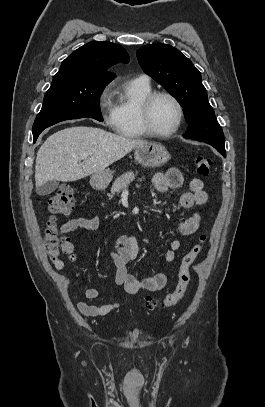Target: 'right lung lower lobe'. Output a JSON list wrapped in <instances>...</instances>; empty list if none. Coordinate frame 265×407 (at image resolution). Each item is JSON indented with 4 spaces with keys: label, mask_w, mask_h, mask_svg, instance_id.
I'll use <instances>...</instances> for the list:
<instances>
[{
    "label": "right lung lower lobe",
    "mask_w": 265,
    "mask_h": 407,
    "mask_svg": "<svg viewBox=\"0 0 265 407\" xmlns=\"http://www.w3.org/2000/svg\"><path fill=\"white\" fill-rule=\"evenodd\" d=\"M38 138V137H37ZM37 138H34V142L36 141Z\"/></svg>",
    "instance_id": "98d812e1"
}]
</instances>
